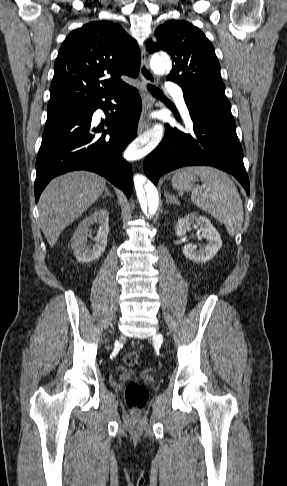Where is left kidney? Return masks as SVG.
<instances>
[{
    "mask_svg": "<svg viewBox=\"0 0 287 486\" xmlns=\"http://www.w3.org/2000/svg\"><path fill=\"white\" fill-rule=\"evenodd\" d=\"M192 226L201 231V236L208 241V244L199 250L192 244H186L183 247V253L187 259L193 262L205 263L213 258L222 247L220 234L206 217L194 212L178 220L175 233L178 237H183Z\"/></svg>",
    "mask_w": 287,
    "mask_h": 486,
    "instance_id": "5707ae66",
    "label": "left kidney"
}]
</instances>
